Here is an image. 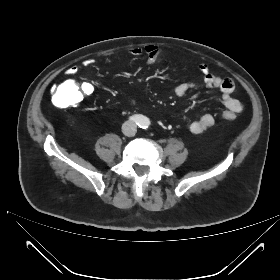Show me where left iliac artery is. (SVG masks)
Instances as JSON below:
<instances>
[{
  "instance_id": "44dca946",
  "label": "left iliac artery",
  "mask_w": 280,
  "mask_h": 280,
  "mask_svg": "<svg viewBox=\"0 0 280 280\" xmlns=\"http://www.w3.org/2000/svg\"><path fill=\"white\" fill-rule=\"evenodd\" d=\"M143 126L146 128V127H147V123H146V122H144V123H143Z\"/></svg>"
}]
</instances>
